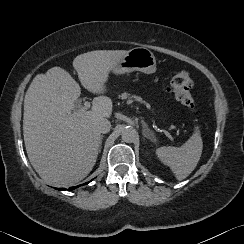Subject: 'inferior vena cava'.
Here are the masks:
<instances>
[{
    "mask_svg": "<svg viewBox=\"0 0 244 244\" xmlns=\"http://www.w3.org/2000/svg\"><path fill=\"white\" fill-rule=\"evenodd\" d=\"M96 128L99 133H108L111 128L109 120L102 118L96 122Z\"/></svg>",
    "mask_w": 244,
    "mask_h": 244,
    "instance_id": "obj_1",
    "label": "inferior vena cava"
}]
</instances>
